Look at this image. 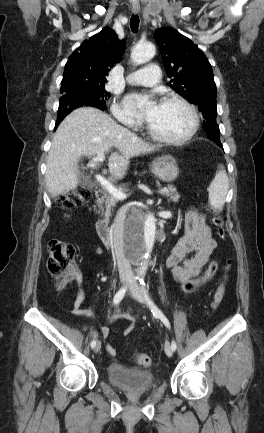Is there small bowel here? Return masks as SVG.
Wrapping results in <instances>:
<instances>
[{
  "instance_id": "obj_1",
  "label": "small bowel",
  "mask_w": 264,
  "mask_h": 433,
  "mask_svg": "<svg viewBox=\"0 0 264 433\" xmlns=\"http://www.w3.org/2000/svg\"><path fill=\"white\" fill-rule=\"evenodd\" d=\"M215 248L216 242L212 238L210 228L206 225L205 216L191 209L185 214L183 234L167 257L166 266L172 270L177 281L184 283L200 273ZM94 252L101 253V247L96 246ZM75 280L78 292L73 304L72 313L74 315H90V311L82 307L85 293L82 287L83 278L80 272L75 273ZM131 330L132 326L128 327L124 331V334H128ZM100 334L103 338H106L109 334V328L102 327ZM107 351L111 355L115 354V349L111 344L107 345Z\"/></svg>"
}]
</instances>
